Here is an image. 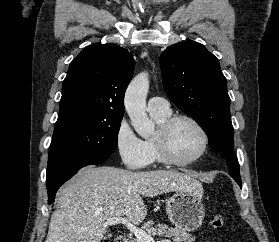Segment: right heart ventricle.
<instances>
[{"instance_id":"right-heart-ventricle-1","label":"right heart ventricle","mask_w":279,"mask_h":242,"mask_svg":"<svg viewBox=\"0 0 279 242\" xmlns=\"http://www.w3.org/2000/svg\"><path fill=\"white\" fill-rule=\"evenodd\" d=\"M171 112H157V111H150V115L152 117V119L156 122L157 125H160L161 123H163L167 118L170 117ZM150 157H151V161H158V162H162L159 153L157 151L156 145L153 141V138H148L144 141Z\"/></svg>"}]
</instances>
